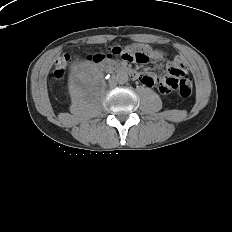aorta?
I'll return each mask as SVG.
<instances>
[{
	"instance_id": "762f6f07",
	"label": "aorta",
	"mask_w": 232,
	"mask_h": 232,
	"mask_svg": "<svg viewBox=\"0 0 232 232\" xmlns=\"http://www.w3.org/2000/svg\"><path fill=\"white\" fill-rule=\"evenodd\" d=\"M115 81L119 84H124L128 81V74L126 72H119L115 77Z\"/></svg>"
}]
</instances>
